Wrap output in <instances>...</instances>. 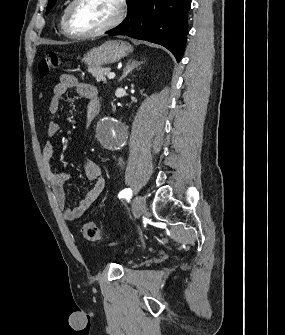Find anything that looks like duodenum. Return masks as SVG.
Segmentation results:
<instances>
[{
	"label": "duodenum",
	"mask_w": 285,
	"mask_h": 335,
	"mask_svg": "<svg viewBox=\"0 0 285 335\" xmlns=\"http://www.w3.org/2000/svg\"><path fill=\"white\" fill-rule=\"evenodd\" d=\"M99 110H100V102L94 103L88 111V118L90 120H93L99 113Z\"/></svg>",
	"instance_id": "duodenum-1"
}]
</instances>
